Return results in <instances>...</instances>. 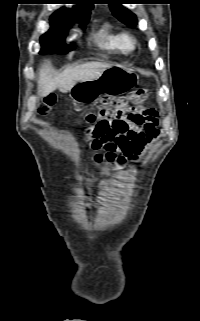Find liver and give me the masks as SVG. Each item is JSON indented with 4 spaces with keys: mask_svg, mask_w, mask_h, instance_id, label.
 <instances>
[{
    "mask_svg": "<svg viewBox=\"0 0 200 321\" xmlns=\"http://www.w3.org/2000/svg\"><path fill=\"white\" fill-rule=\"evenodd\" d=\"M108 63L89 62L76 67H68L60 74H56L49 63H45L39 71V89L42 96L59 89L62 93L70 91L77 82L96 79L107 68Z\"/></svg>",
    "mask_w": 200,
    "mask_h": 321,
    "instance_id": "liver-1",
    "label": "liver"
}]
</instances>
